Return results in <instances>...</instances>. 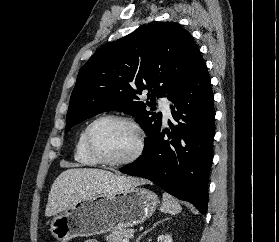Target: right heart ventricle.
Masks as SVG:
<instances>
[{
  "label": "right heart ventricle",
  "instance_id": "e07e8e85",
  "mask_svg": "<svg viewBox=\"0 0 279 242\" xmlns=\"http://www.w3.org/2000/svg\"><path fill=\"white\" fill-rule=\"evenodd\" d=\"M88 126H85L80 132L74 149V160L82 166L94 167L99 163L89 154L86 148V132Z\"/></svg>",
  "mask_w": 279,
  "mask_h": 242
}]
</instances>
